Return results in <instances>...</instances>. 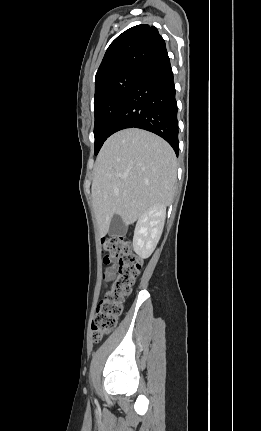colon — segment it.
Returning a JSON list of instances; mask_svg holds the SVG:
<instances>
[{
  "label": "colon",
  "instance_id": "5ec220e1",
  "mask_svg": "<svg viewBox=\"0 0 261 431\" xmlns=\"http://www.w3.org/2000/svg\"><path fill=\"white\" fill-rule=\"evenodd\" d=\"M105 252L104 262L118 259L114 267V279L105 297L99 304L92 320L91 332L95 341L101 340L116 325L123 310L125 298L143 265L142 259L135 254L130 240L125 237H109L102 241Z\"/></svg>",
  "mask_w": 261,
  "mask_h": 431
}]
</instances>
